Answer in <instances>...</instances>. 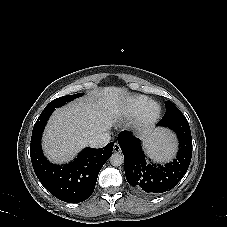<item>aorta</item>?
Here are the masks:
<instances>
[{
  "instance_id": "obj_1",
  "label": "aorta",
  "mask_w": 227,
  "mask_h": 227,
  "mask_svg": "<svg viewBox=\"0 0 227 227\" xmlns=\"http://www.w3.org/2000/svg\"><path fill=\"white\" fill-rule=\"evenodd\" d=\"M111 165L118 167L121 166L124 162V157L120 153H114L109 158Z\"/></svg>"
}]
</instances>
